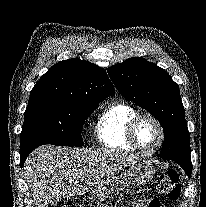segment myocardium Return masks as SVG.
<instances>
[{
	"instance_id": "1",
	"label": "myocardium",
	"mask_w": 206,
	"mask_h": 207,
	"mask_svg": "<svg viewBox=\"0 0 206 207\" xmlns=\"http://www.w3.org/2000/svg\"><path fill=\"white\" fill-rule=\"evenodd\" d=\"M143 119H149V120L153 121L156 124V126L158 127L159 132H160L159 142H158L157 146L155 148L151 149V150L143 149L137 141L136 129H137V126L139 125V123ZM127 139H128L129 144L137 152H139L142 155L149 156V155H153V154L157 153L162 148V146L165 143L166 132H165V128H164L162 122L157 117H155L154 115L147 114V113L137 114L128 124Z\"/></svg>"
}]
</instances>
